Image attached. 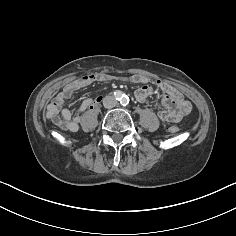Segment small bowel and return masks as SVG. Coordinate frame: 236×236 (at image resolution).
Instances as JSON below:
<instances>
[{
	"mask_svg": "<svg viewBox=\"0 0 236 236\" xmlns=\"http://www.w3.org/2000/svg\"><path fill=\"white\" fill-rule=\"evenodd\" d=\"M115 77L104 74H88L66 84L59 91L47 107L46 119L58 129L63 131L74 132L78 128L81 115L90 108L99 106L103 100L102 96L85 99L79 109L72 113L69 109L64 108V102L69 99L74 92L87 87L98 81H110ZM122 80L139 83L142 86L135 91V98L140 103H144L147 97L152 93V87L149 84L150 79L144 75L135 74L129 77L121 78ZM157 86L165 93L159 102L160 110L158 117L164 122H177L183 116L190 113L191 104L184 99L183 95L172 85L157 81Z\"/></svg>",
	"mask_w": 236,
	"mask_h": 236,
	"instance_id": "obj_1",
	"label": "small bowel"
}]
</instances>
